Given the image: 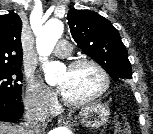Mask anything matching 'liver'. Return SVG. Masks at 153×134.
Masks as SVG:
<instances>
[{
  "instance_id": "1",
  "label": "liver",
  "mask_w": 153,
  "mask_h": 134,
  "mask_svg": "<svg viewBox=\"0 0 153 134\" xmlns=\"http://www.w3.org/2000/svg\"><path fill=\"white\" fill-rule=\"evenodd\" d=\"M23 132L22 126L0 122V134H24Z\"/></svg>"
}]
</instances>
